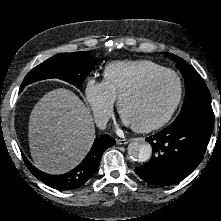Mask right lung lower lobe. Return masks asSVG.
I'll return each mask as SVG.
<instances>
[{
    "mask_svg": "<svg viewBox=\"0 0 221 221\" xmlns=\"http://www.w3.org/2000/svg\"><path fill=\"white\" fill-rule=\"evenodd\" d=\"M114 144L115 140L111 136L102 135L94 141L90 152L76 168L61 175H50L40 171L26 157L24 161L31 173L46 185L57 190H73L81 187L94 175L103 152Z\"/></svg>",
    "mask_w": 221,
    "mask_h": 221,
    "instance_id": "obj_1",
    "label": "right lung lower lobe"
}]
</instances>
